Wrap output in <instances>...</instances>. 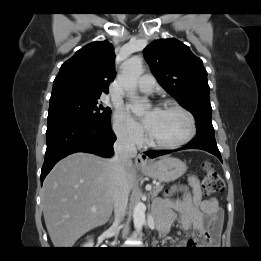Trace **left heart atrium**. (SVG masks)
Returning <instances> with one entry per match:
<instances>
[{"label": "left heart atrium", "mask_w": 261, "mask_h": 261, "mask_svg": "<svg viewBox=\"0 0 261 261\" xmlns=\"http://www.w3.org/2000/svg\"><path fill=\"white\" fill-rule=\"evenodd\" d=\"M159 114V110L155 109L149 112L146 117L142 120V125L143 127L147 130L150 131L155 123V120Z\"/></svg>", "instance_id": "left-heart-atrium-1"}]
</instances>
